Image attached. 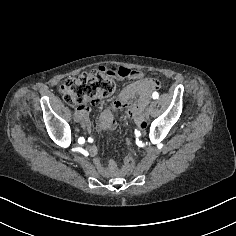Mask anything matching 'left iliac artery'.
<instances>
[{
  "label": "left iliac artery",
  "instance_id": "obj_1",
  "mask_svg": "<svg viewBox=\"0 0 236 236\" xmlns=\"http://www.w3.org/2000/svg\"><path fill=\"white\" fill-rule=\"evenodd\" d=\"M152 97L153 99H158L159 94L157 92H153Z\"/></svg>",
  "mask_w": 236,
  "mask_h": 236
}]
</instances>
